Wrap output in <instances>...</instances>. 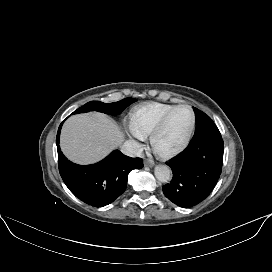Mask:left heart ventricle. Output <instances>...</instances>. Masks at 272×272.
Returning a JSON list of instances; mask_svg holds the SVG:
<instances>
[{
    "mask_svg": "<svg viewBox=\"0 0 272 272\" xmlns=\"http://www.w3.org/2000/svg\"><path fill=\"white\" fill-rule=\"evenodd\" d=\"M191 124V114L186 109L174 112L167 121L156 144L161 149H171L177 146L186 136Z\"/></svg>",
    "mask_w": 272,
    "mask_h": 272,
    "instance_id": "1",
    "label": "left heart ventricle"
}]
</instances>
